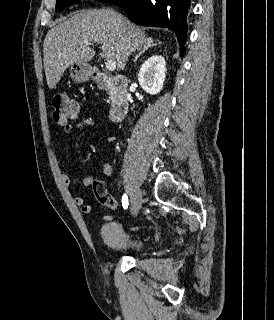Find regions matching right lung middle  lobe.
<instances>
[{
  "label": "right lung middle lobe",
  "mask_w": 274,
  "mask_h": 320,
  "mask_svg": "<svg viewBox=\"0 0 274 320\" xmlns=\"http://www.w3.org/2000/svg\"><path fill=\"white\" fill-rule=\"evenodd\" d=\"M80 0H56V11H61L65 7L78 3ZM99 2H110L111 0H97Z\"/></svg>",
  "instance_id": "obj_1"
}]
</instances>
